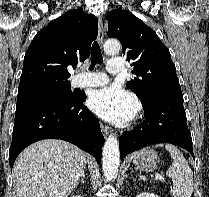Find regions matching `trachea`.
<instances>
[{
	"label": "trachea",
	"mask_w": 209,
	"mask_h": 197,
	"mask_svg": "<svg viewBox=\"0 0 209 197\" xmlns=\"http://www.w3.org/2000/svg\"><path fill=\"white\" fill-rule=\"evenodd\" d=\"M91 65L90 70H93L96 64H101L103 61L99 44L95 41L91 48Z\"/></svg>",
	"instance_id": "obj_1"
}]
</instances>
